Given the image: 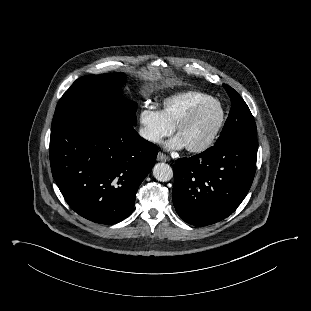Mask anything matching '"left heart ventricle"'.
<instances>
[{
	"instance_id": "obj_1",
	"label": "left heart ventricle",
	"mask_w": 311,
	"mask_h": 311,
	"mask_svg": "<svg viewBox=\"0 0 311 311\" xmlns=\"http://www.w3.org/2000/svg\"><path fill=\"white\" fill-rule=\"evenodd\" d=\"M217 118L218 107L215 104H211L185 126L178 136L182 139L185 146L199 145L210 135Z\"/></svg>"
}]
</instances>
